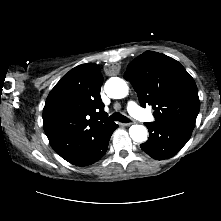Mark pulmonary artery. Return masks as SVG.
<instances>
[{"mask_svg": "<svg viewBox=\"0 0 221 221\" xmlns=\"http://www.w3.org/2000/svg\"><path fill=\"white\" fill-rule=\"evenodd\" d=\"M127 110L128 112L140 121L151 122L154 120L152 114L143 110L140 106H138L134 101H129L127 103Z\"/></svg>", "mask_w": 221, "mask_h": 221, "instance_id": "1", "label": "pulmonary artery"}]
</instances>
